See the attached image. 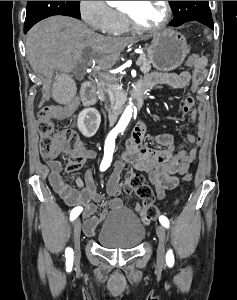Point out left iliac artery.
<instances>
[{
  "mask_svg": "<svg viewBox=\"0 0 237 300\" xmlns=\"http://www.w3.org/2000/svg\"><path fill=\"white\" fill-rule=\"evenodd\" d=\"M159 221L165 228H169V220L167 219V217L160 216ZM166 263L169 267H172L174 264V256L172 250H169L166 254Z\"/></svg>",
  "mask_w": 237,
  "mask_h": 300,
  "instance_id": "obj_1",
  "label": "left iliac artery"
}]
</instances>
